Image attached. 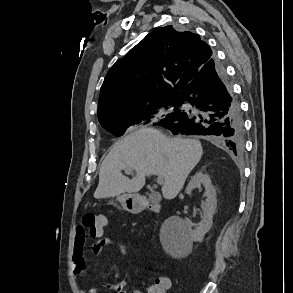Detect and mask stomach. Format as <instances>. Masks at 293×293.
Listing matches in <instances>:
<instances>
[{"label": "stomach", "mask_w": 293, "mask_h": 293, "mask_svg": "<svg viewBox=\"0 0 293 293\" xmlns=\"http://www.w3.org/2000/svg\"><path fill=\"white\" fill-rule=\"evenodd\" d=\"M117 201H119L121 203L123 209H125L127 211H132L138 205L135 198L129 194H123V195L117 196Z\"/></svg>", "instance_id": "obj_1"}]
</instances>
